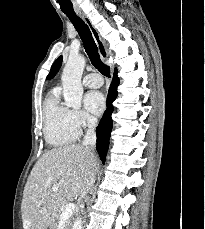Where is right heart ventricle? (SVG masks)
Masks as SVG:
<instances>
[{
    "instance_id": "right-heart-ventricle-1",
    "label": "right heart ventricle",
    "mask_w": 205,
    "mask_h": 229,
    "mask_svg": "<svg viewBox=\"0 0 205 229\" xmlns=\"http://www.w3.org/2000/svg\"><path fill=\"white\" fill-rule=\"evenodd\" d=\"M44 136L53 147H62L73 143L79 131L70 118V110L61 102L58 94L50 93L44 101Z\"/></svg>"
}]
</instances>
